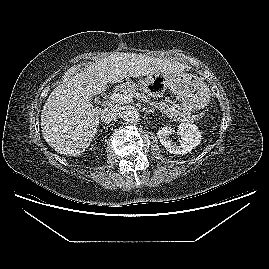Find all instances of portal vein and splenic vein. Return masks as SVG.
I'll use <instances>...</instances> for the list:
<instances>
[{
  "mask_svg": "<svg viewBox=\"0 0 269 269\" xmlns=\"http://www.w3.org/2000/svg\"><path fill=\"white\" fill-rule=\"evenodd\" d=\"M110 100L127 104L132 101V96L128 95L127 93H114L110 96Z\"/></svg>",
  "mask_w": 269,
  "mask_h": 269,
  "instance_id": "portal-vein-and-splenic-vein-1",
  "label": "portal vein and splenic vein"
}]
</instances>
